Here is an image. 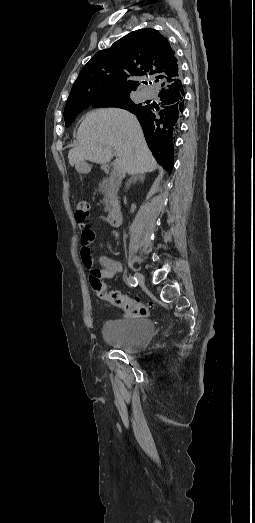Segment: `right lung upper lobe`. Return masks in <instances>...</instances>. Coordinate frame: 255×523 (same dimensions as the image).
<instances>
[{
    "label": "right lung upper lobe",
    "mask_w": 255,
    "mask_h": 523,
    "mask_svg": "<svg viewBox=\"0 0 255 523\" xmlns=\"http://www.w3.org/2000/svg\"><path fill=\"white\" fill-rule=\"evenodd\" d=\"M153 79L158 104L129 100L124 109L137 115L157 162L171 173L175 135L184 110L185 92L175 52L157 30L140 29L96 53L83 67L66 104L130 94L140 84L128 77Z\"/></svg>",
    "instance_id": "1"
}]
</instances>
